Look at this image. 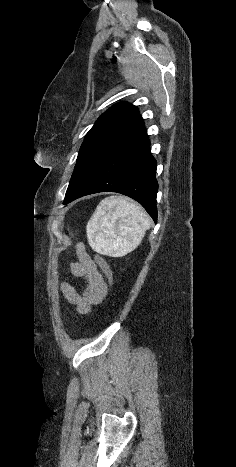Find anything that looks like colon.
<instances>
[{"mask_svg":"<svg viewBox=\"0 0 236 467\" xmlns=\"http://www.w3.org/2000/svg\"><path fill=\"white\" fill-rule=\"evenodd\" d=\"M94 260L96 261V263L98 264V266L102 270V272L105 275L108 283L111 284L112 280H113V273H112V270H111L108 262L102 256H100L99 254H95Z\"/></svg>","mask_w":236,"mask_h":467,"instance_id":"colon-1","label":"colon"}]
</instances>
